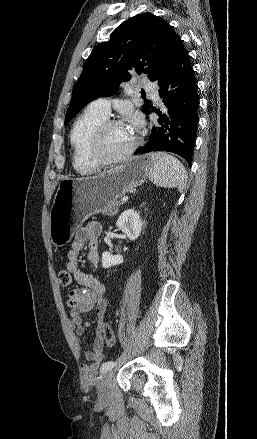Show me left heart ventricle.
I'll use <instances>...</instances> for the list:
<instances>
[{
  "instance_id": "left-heart-ventricle-1",
  "label": "left heart ventricle",
  "mask_w": 257,
  "mask_h": 439,
  "mask_svg": "<svg viewBox=\"0 0 257 439\" xmlns=\"http://www.w3.org/2000/svg\"><path fill=\"white\" fill-rule=\"evenodd\" d=\"M136 131L127 124L110 127L104 136L103 149L106 156L112 157L127 149L136 139Z\"/></svg>"
}]
</instances>
